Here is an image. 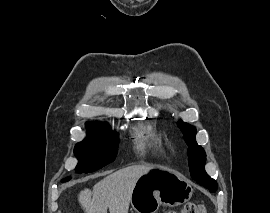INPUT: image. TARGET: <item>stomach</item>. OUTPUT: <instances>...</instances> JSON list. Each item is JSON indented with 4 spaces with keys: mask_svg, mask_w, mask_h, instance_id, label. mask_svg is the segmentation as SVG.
Segmentation results:
<instances>
[{
    "mask_svg": "<svg viewBox=\"0 0 270 213\" xmlns=\"http://www.w3.org/2000/svg\"><path fill=\"white\" fill-rule=\"evenodd\" d=\"M193 188L181 174L166 168H153L135 183L131 205L136 213H156L160 205L179 206L190 200Z\"/></svg>",
    "mask_w": 270,
    "mask_h": 213,
    "instance_id": "0dacf381",
    "label": "stomach"
}]
</instances>
